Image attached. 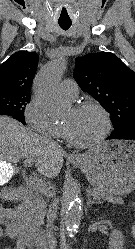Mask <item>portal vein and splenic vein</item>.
Masks as SVG:
<instances>
[{
    "label": "portal vein and splenic vein",
    "mask_w": 135,
    "mask_h": 249,
    "mask_svg": "<svg viewBox=\"0 0 135 249\" xmlns=\"http://www.w3.org/2000/svg\"><path fill=\"white\" fill-rule=\"evenodd\" d=\"M33 164V160L27 158L24 165L25 166H31ZM12 172V167L10 164H2L1 169H0V176L8 177L9 174ZM28 183L30 184L31 187L34 189L38 190L39 192H47L48 189L47 187L43 184V182L34 176H29L27 178Z\"/></svg>",
    "instance_id": "portal-vein-and-splenic-vein-1"
}]
</instances>
